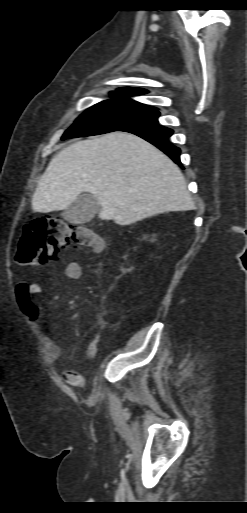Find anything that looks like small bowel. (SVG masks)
<instances>
[{"label": "small bowel", "instance_id": "c3829d8e", "mask_svg": "<svg viewBox=\"0 0 247 513\" xmlns=\"http://www.w3.org/2000/svg\"><path fill=\"white\" fill-rule=\"evenodd\" d=\"M81 273L82 268L80 263L71 261L65 265L64 276L66 278L77 280L80 278ZM40 291L41 287L39 285H29L25 282H20L16 288V299L20 310L27 319L34 323H40L42 318L41 310L32 299V297ZM49 333H53V330L50 329ZM49 333L45 334V340L48 345V358L51 362H55L63 355L64 348L63 345ZM86 356L87 358L95 356V351L93 350L92 345L87 346ZM63 375L68 385L74 387L81 386L82 378L76 371L69 370L64 372Z\"/></svg>", "mask_w": 247, "mask_h": 513}]
</instances>
